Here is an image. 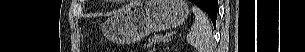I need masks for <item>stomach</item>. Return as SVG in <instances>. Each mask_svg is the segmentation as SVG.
I'll use <instances>...</instances> for the list:
<instances>
[{
  "instance_id": "obj_1",
  "label": "stomach",
  "mask_w": 305,
  "mask_h": 52,
  "mask_svg": "<svg viewBox=\"0 0 305 52\" xmlns=\"http://www.w3.org/2000/svg\"><path fill=\"white\" fill-rule=\"evenodd\" d=\"M188 14L183 0H136L108 18L102 31L110 41L129 44L149 33L181 25Z\"/></svg>"
}]
</instances>
